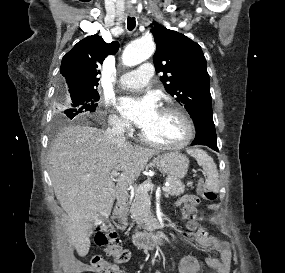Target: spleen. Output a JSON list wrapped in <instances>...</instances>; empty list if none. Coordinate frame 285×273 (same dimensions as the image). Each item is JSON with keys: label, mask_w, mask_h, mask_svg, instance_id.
<instances>
[{"label": "spleen", "mask_w": 285, "mask_h": 273, "mask_svg": "<svg viewBox=\"0 0 285 273\" xmlns=\"http://www.w3.org/2000/svg\"><path fill=\"white\" fill-rule=\"evenodd\" d=\"M188 153L194 157L197 163L202 166L204 174L207 176L206 185L210 190L218 192L219 190V175L217 166L213 158L201 149H189Z\"/></svg>", "instance_id": "3e777b00"}]
</instances>
